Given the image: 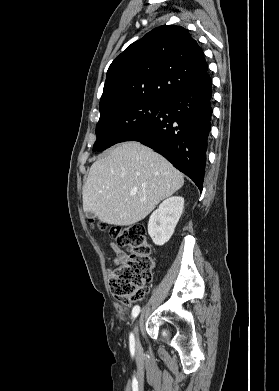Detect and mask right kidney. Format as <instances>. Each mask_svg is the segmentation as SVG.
<instances>
[{
  "label": "right kidney",
  "mask_w": 279,
  "mask_h": 391,
  "mask_svg": "<svg viewBox=\"0 0 279 391\" xmlns=\"http://www.w3.org/2000/svg\"><path fill=\"white\" fill-rule=\"evenodd\" d=\"M184 198L172 196L164 200L150 216L148 234L156 245L162 246L169 241L181 217Z\"/></svg>",
  "instance_id": "obj_1"
}]
</instances>
